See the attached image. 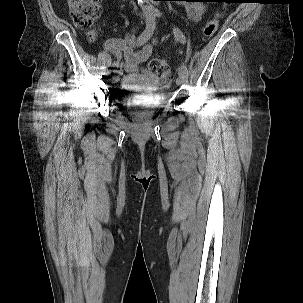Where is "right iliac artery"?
Masks as SVG:
<instances>
[{"instance_id":"82829eb1","label":"right iliac artery","mask_w":303,"mask_h":303,"mask_svg":"<svg viewBox=\"0 0 303 303\" xmlns=\"http://www.w3.org/2000/svg\"><path fill=\"white\" fill-rule=\"evenodd\" d=\"M146 14V13H145ZM156 27V16L146 14V27L142 34L137 39V45H143L146 43L152 36ZM119 67V62H114L112 64V71H116Z\"/></svg>"}]
</instances>
